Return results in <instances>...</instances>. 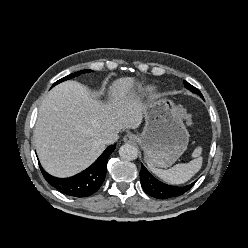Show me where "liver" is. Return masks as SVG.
I'll return each instance as SVG.
<instances>
[{
	"label": "liver",
	"mask_w": 248,
	"mask_h": 248,
	"mask_svg": "<svg viewBox=\"0 0 248 248\" xmlns=\"http://www.w3.org/2000/svg\"><path fill=\"white\" fill-rule=\"evenodd\" d=\"M134 87L133 77L115 80L107 103L94 99L75 81L54 87L41 103L34 130L44 169L56 177L75 175L105 150L106 135L138 128L144 112Z\"/></svg>",
	"instance_id": "obj_1"
}]
</instances>
